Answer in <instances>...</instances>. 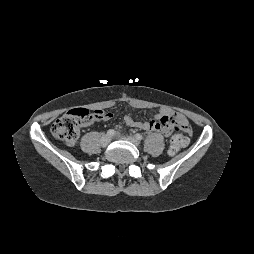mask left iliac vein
Masks as SVG:
<instances>
[{
  "label": "left iliac vein",
  "instance_id": "4c4485c4",
  "mask_svg": "<svg viewBox=\"0 0 254 254\" xmlns=\"http://www.w3.org/2000/svg\"><path fill=\"white\" fill-rule=\"evenodd\" d=\"M125 140L133 143L134 145L138 146L139 145V142L136 138H134L133 136H127V137H124Z\"/></svg>",
  "mask_w": 254,
  "mask_h": 254
}]
</instances>
